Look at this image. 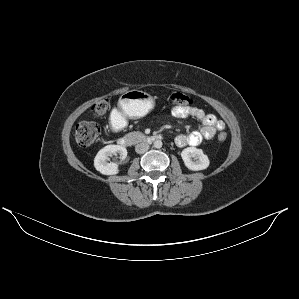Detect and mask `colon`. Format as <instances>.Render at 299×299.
I'll return each mask as SVG.
<instances>
[{
	"instance_id": "5ec220e1",
	"label": "colon",
	"mask_w": 299,
	"mask_h": 299,
	"mask_svg": "<svg viewBox=\"0 0 299 299\" xmlns=\"http://www.w3.org/2000/svg\"><path fill=\"white\" fill-rule=\"evenodd\" d=\"M169 100L175 107H186L191 104V99L186 94L178 91L172 92L169 96ZM109 104V99L103 98L92 106V111L96 116L103 117L109 109ZM99 133L100 128L97 123L92 121H83L78 123L76 126L75 138L80 145L90 146L97 140ZM226 138L227 134L225 132H221L218 135V139L220 141H225Z\"/></svg>"
}]
</instances>
